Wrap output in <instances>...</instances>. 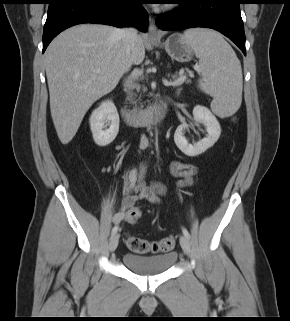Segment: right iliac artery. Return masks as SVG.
Here are the masks:
<instances>
[{
  "instance_id": "obj_1",
  "label": "right iliac artery",
  "mask_w": 290,
  "mask_h": 321,
  "mask_svg": "<svg viewBox=\"0 0 290 321\" xmlns=\"http://www.w3.org/2000/svg\"><path fill=\"white\" fill-rule=\"evenodd\" d=\"M118 228H119V226H118V223H117V224L114 226V228L112 229V236L117 233Z\"/></svg>"
}]
</instances>
